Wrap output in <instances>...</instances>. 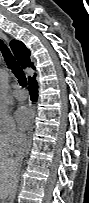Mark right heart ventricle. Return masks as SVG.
Segmentation results:
<instances>
[{
	"label": "right heart ventricle",
	"mask_w": 89,
	"mask_h": 203,
	"mask_svg": "<svg viewBox=\"0 0 89 203\" xmlns=\"http://www.w3.org/2000/svg\"><path fill=\"white\" fill-rule=\"evenodd\" d=\"M8 154L9 153L6 150H4L2 147H0V156L1 157L7 156Z\"/></svg>",
	"instance_id": "e07e8e85"
}]
</instances>
